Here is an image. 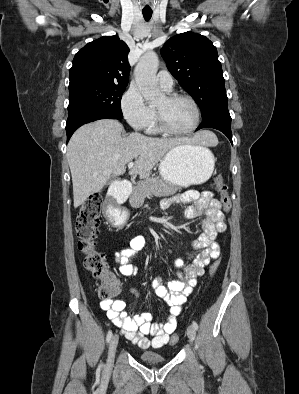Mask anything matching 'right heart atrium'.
<instances>
[{"label":"right heart atrium","mask_w":299,"mask_h":394,"mask_svg":"<svg viewBox=\"0 0 299 394\" xmlns=\"http://www.w3.org/2000/svg\"><path fill=\"white\" fill-rule=\"evenodd\" d=\"M121 108L124 118L135 130H145L154 118V110L148 106L139 92L131 86L123 95Z\"/></svg>","instance_id":"d8ad5b80"}]
</instances>
